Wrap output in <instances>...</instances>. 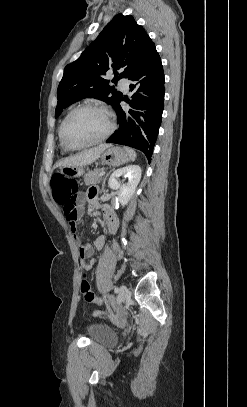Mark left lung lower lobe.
<instances>
[{"label": "left lung lower lobe", "instance_id": "0a47b994", "mask_svg": "<svg viewBox=\"0 0 247 407\" xmlns=\"http://www.w3.org/2000/svg\"><path fill=\"white\" fill-rule=\"evenodd\" d=\"M129 79L134 82L130 90L136 91L127 100L131 109L123 111L122 97L114 108L119 129L106 142L141 150L150 161L162 121L165 93L163 66L156 48Z\"/></svg>", "mask_w": 247, "mask_h": 407}]
</instances>
